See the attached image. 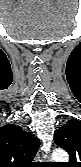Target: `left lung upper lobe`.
<instances>
[{"mask_svg": "<svg viewBox=\"0 0 81 167\" xmlns=\"http://www.w3.org/2000/svg\"><path fill=\"white\" fill-rule=\"evenodd\" d=\"M55 143L65 149L70 156L67 167H79L81 160V121L70 119L54 133Z\"/></svg>", "mask_w": 81, "mask_h": 167, "instance_id": "1", "label": "left lung upper lobe"}]
</instances>
